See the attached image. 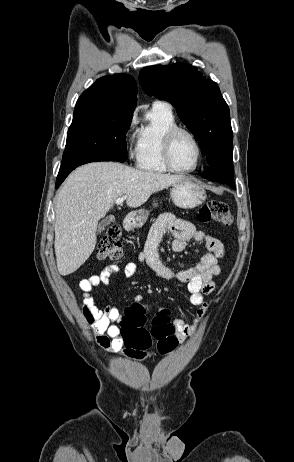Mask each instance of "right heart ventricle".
I'll return each mask as SVG.
<instances>
[{
  "instance_id": "1",
  "label": "right heart ventricle",
  "mask_w": 294,
  "mask_h": 462,
  "mask_svg": "<svg viewBox=\"0 0 294 462\" xmlns=\"http://www.w3.org/2000/svg\"><path fill=\"white\" fill-rule=\"evenodd\" d=\"M177 126L172 109L163 103H154L145 113L136 132L135 157L137 167L154 174L168 172L162 159V142L165 133Z\"/></svg>"
}]
</instances>
